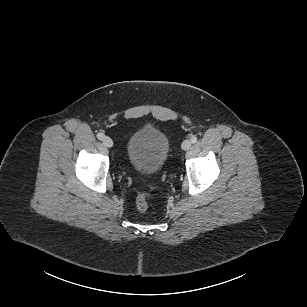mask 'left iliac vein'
I'll use <instances>...</instances> for the list:
<instances>
[{"label": "left iliac vein", "mask_w": 307, "mask_h": 307, "mask_svg": "<svg viewBox=\"0 0 307 307\" xmlns=\"http://www.w3.org/2000/svg\"><path fill=\"white\" fill-rule=\"evenodd\" d=\"M191 145H192L191 140H188V139L184 140L182 143V149L186 151L191 147Z\"/></svg>", "instance_id": "4c4485c4"}]
</instances>
